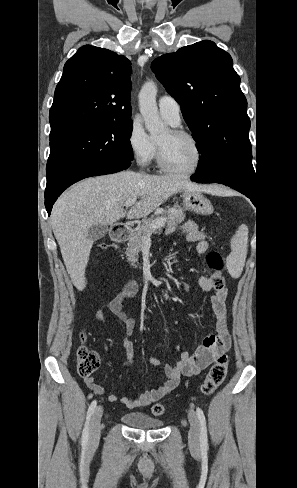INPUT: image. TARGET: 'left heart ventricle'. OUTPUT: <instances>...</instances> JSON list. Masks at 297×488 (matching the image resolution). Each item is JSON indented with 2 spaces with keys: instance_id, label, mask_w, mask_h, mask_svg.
<instances>
[{
  "instance_id": "b2bd125f",
  "label": "left heart ventricle",
  "mask_w": 297,
  "mask_h": 488,
  "mask_svg": "<svg viewBox=\"0 0 297 488\" xmlns=\"http://www.w3.org/2000/svg\"><path fill=\"white\" fill-rule=\"evenodd\" d=\"M158 143L163 147L165 159L173 169L186 171L195 164L197 153L189 139L175 137L168 131L158 140Z\"/></svg>"
}]
</instances>
